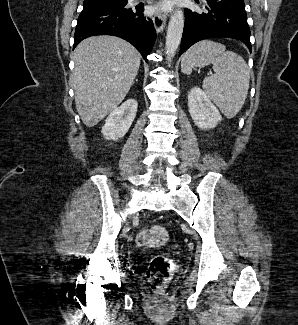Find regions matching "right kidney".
Listing matches in <instances>:
<instances>
[{
  "label": "right kidney",
  "mask_w": 298,
  "mask_h": 325,
  "mask_svg": "<svg viewBox=\"0 0 298 325\" xmlns=\"http://www.w3.org/2000/svg\"><path fill=\"white\" fill-rule=\"evenodd\" d=\"M138 102L135 98H127L118 108H114L107 116L101 132L104 138L118 140L128 132L137 112Z\"/></svg>",
  "instance_id": "1"
}]
</instances>
